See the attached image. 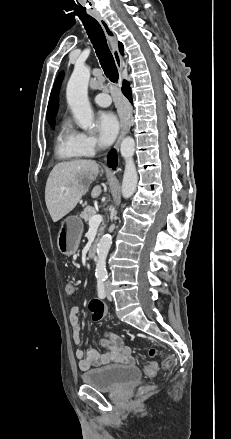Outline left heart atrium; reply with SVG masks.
Here are the masks:
<instances>
[{"label":"left heart atrium","instance_id":"left-heart-atrium-1","mask_svg":"<svg viewBox=\"0 0 231 439\" xmlns=\"http://www.w3.org/2000/svg\"><path fill=\"white\" fill-rule=\"evenodd\" d=\"M97 129L102 142L105 145H110L119 132L120 123L113 113L104 112L97 119Z\"/></svg>","mask_w":231,"mask_h":439}]
</instances>
